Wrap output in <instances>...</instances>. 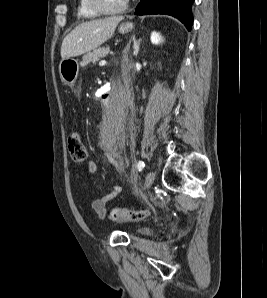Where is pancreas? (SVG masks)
Segmentation results:
<instances>
[{
	"mask_svg": "<svg viewBox=\"0 0 267 298\" xmlns=\"http://www.w3.org/2000/svg\"><path fill=\"white\" fill-rule=\"evenodd\" d=\"M108 53H109V46L99 47L98 49H94L93 51H91V52L87 53L86 55H84V57H83L82 62L80 63V65L82 67H84L87 64H89L90 62H96L100 58H102L105 55H107Z\"/></svg>",
	"mask_w": 267,
	"mask_h": 298,
	"instance_id": "1",
	"label": "pancreas"
}]
</instances>
